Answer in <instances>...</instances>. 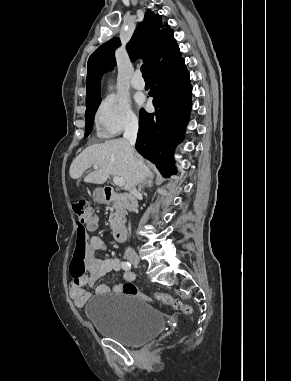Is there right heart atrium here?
<instances>
[{
  "label": "right heart atrium",
  "mask_w": 291,
  "mask_h": 381,
  "mask_svg": "<svg viewBox=\"0 0 291 381\" xmlns=\"http://www.w3.org/2000/svg\"><path fill=\"white\" fill-rule=\"evenodd\" d=\"M95 124L102 137H114L138 126V119L127 99L109 95L99 104Z\"/></svg>",
  "instance_id": "1"
}]
</instances>
